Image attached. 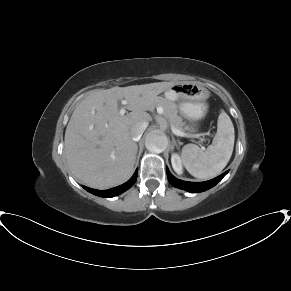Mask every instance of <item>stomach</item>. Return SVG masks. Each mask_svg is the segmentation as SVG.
I'll use <instances>...</instances> for the list:
<instances>
[{"instance_id": "0dacf381", "label": "stomach", "mask_w": 291, "mask_h": 291, "mask_svg": "<svg viewBox=\"0 0 291 291\" xmlns=\"http://www.w3.org/2000/svg\"><path fill=\"white\" fill-rule=\"evenodd\" d=\"M165 96L171 101H178L181 115L191 122L200 121L207 114L206 100L210 92L202 85L193 82L175 84L165 90ZM187 129L196 130L195 125Z\"/></svg>"}]
</instances>
